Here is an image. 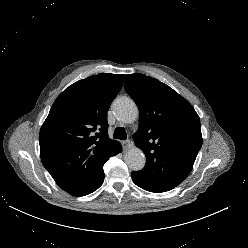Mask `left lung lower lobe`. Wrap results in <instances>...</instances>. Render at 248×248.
<instances>
[{"label": "left lung lower lobe", "mask_w": 248, "mask_h": 248, "mask_svg": "<svg viewBox=\"0 0 248 248\" xmlns=\"http://www.w3.org/2000/svg\"><path fill=\"white\" fill-rule=\"evenodd\" d=\"M131 177H132L133 182L137 186H139L140 188H142L144 190H147L150 192H156V193L165 192V191H161V190H155V189H152L151 187H149L147 182L144 180L143 176L140 174L139 171H133L131 173Z\"/></svg>", "instance_id": "1"}]
</instances>
